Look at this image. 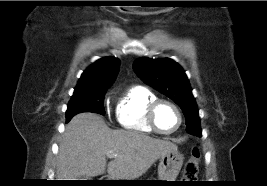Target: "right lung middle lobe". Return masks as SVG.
Here are the masks:
<instances>
[{
  "label": "right lung middle lobe",
  "mask_w": 267,
  "mask_h": 186,
  "mask_svg": "<svg viewBox=\"0 0 267 186\" xmlns=\"http://www.w3.org/2000/svg\"><path fill=\"white\" fill-rule=\"evenodd\" d=\"M108 88L74 92L66 111V122L81 112L105 114L103 101Z\"/></svg>",
  "instance_id": "obj_1"
}]
</instances>
